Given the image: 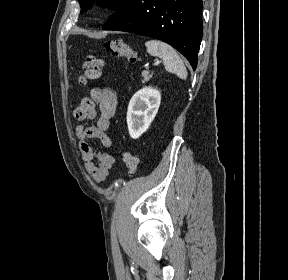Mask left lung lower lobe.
<instances>
[{
  "mask_svg": "<svg viewBox=\"0 0 288 280\" xmlns=\"http://www.w3.org/2000/svg\"><path fill=\"white\" fill-rule=\"evenodd\" d=\"M202 0H133L103 30L131 32L162 40L177 49L195 70L202 38Z\"/></svg>",
  "mask_w": 288,
  "mask_h": 280,
  "instance_id": "left-lung-lower-lobe-1",
  "label": "left lung lower lobe"
}]
</instances>
